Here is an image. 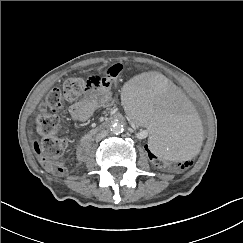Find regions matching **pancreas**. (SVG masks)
I'll return each instance as SVG.
<instances>
[{
    "label": "pancreas",
    "instance_id": "pancreas-1",
    "mask_svg": "<svg viewBox=\"0 0 243 243\" xmlns=\"http://www.w3.org/2000/svg\"><path fill=\"white\" fill-rule=\"evenodd\" d=\"M94 133H95V130H92L89 134L85 135V138L90 137Z\"/></svg>",
    "mask_w": 243,
    "mask_h": 243
}]
</instances>
